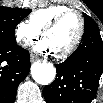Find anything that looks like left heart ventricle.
Returning a JSON list of instances; mask_svg holds the SVG:
<instances>
[{"label": "left heart ventricle", "mask_w": 103, "mask_h": 103, "mask_svg": "<svg viewBox=\"0 0 103 103\" xmlns=\"http://www.w3.org/2000/svg\"><path fill=\"white\" fill-rule=\"evenodd\" d=\"M79 30V19L76 15L66 17L56 28L44 35L51 46L52 52H60L67 48L75 39Z\"/></svg>", "instance_id": "obj_1"}]
</instances>
